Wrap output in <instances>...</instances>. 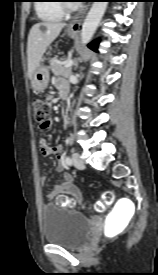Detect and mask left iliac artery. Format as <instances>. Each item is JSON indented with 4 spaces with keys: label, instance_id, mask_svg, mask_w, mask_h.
Masks as SVG:
<instances>
[{
    "label": "left iliac artery",
    "instance_id": "1",
    "mask_svg": "<svg viewBox=\"0 0 158 275\" xmlns=\"http://www.w3.org/2000/svg\"><path fill=\"white\" fill-rule=\"evenodd\" d=\"M65 163L69 166L72 165V159L70 157H65Z\"/></svg>",
    "mask_w": 158,
    "mask_h": 275
}]
</instances>
